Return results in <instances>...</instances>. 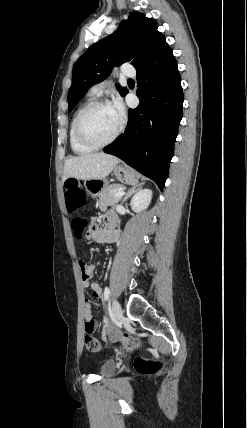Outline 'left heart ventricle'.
Wrapping results in <instances>:
<instances>
[{
    "mask_svg": "<svg viewBox=\"0 0 247 428\" xmlns=\"http://www.w3.org/2000/svg\"><path fill=\"white\" fill-rule=\"evenodd\" d=\"M119 122L109 106H103L92 111L84 122V130L88 137L96 142L110 138L117 129Z\"/></svg>",
    "mask_w": 247,
    "mask_h": 428,
    "instance_id": "1",
    "label": "left heart ventricle"
}]
</instances>
